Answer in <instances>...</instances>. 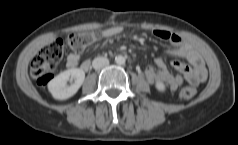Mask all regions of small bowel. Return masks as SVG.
I'll return each instance as SVG.
<instances>
[{"mask_svg": "<svg viewBox=\"0 0 238 145\" xmlns=\"http://www.w3.org/2000/svg\"><path fill=\"white\" fill-rule=\"evenodd\" d=\"M121 32L122 27L116 26L103 30L101 36L103 38H111L117 36ZM154 35L157 38L166 40L172 44L173 48L167 51L168 55L182 57L193 65V70L190 71V67L186 63L177 60L172 62L174 68L185 73V79L190 85L196 86L206 79L207 70L202 58L195 48L182 36L161 29H156ZM66 64L69 68L73 69L79 67L82 71H88L91 67L90 60L85 59L80 62V55L76 52L70 53L67 56ZM145 75L150 83L163 82L170 90H176L184 81L181 76L169 71L162 57L155 59V67L149 66L145 71Z\"/></svg>", "mask_w": 238, "mask_h": 145, "instance_id": "c3829d8e", "label": "small bowel"}]
</instances>
